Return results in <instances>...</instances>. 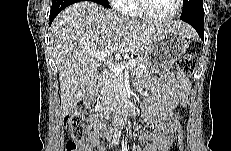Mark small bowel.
Instances as JSON below:
<instances>
[{
    "mask_svg": "<svg viewBox=\"0 0 231 151\" xmlns=\"http://www.w3.org/2000/svg\"><path fill=\"white\" fill-rule=\"evenodd\" d=\"M148 88L152 96L145 102L142 114L155 129L140 131V139L148 143L144 149L138 147L136 151H166L171 139L170 122L175 117L182 119L178 109L188 104L189 81L181 74L169 72L150 81ZM100 121L99 114L89 117L88 139L80 145L79 151H107L102 139L108 134Z\"/></svg>",
    "mask_w": 231,
    "mask_h": 151,
    "instance_id": "obj_1",
    "label": "small bowel"
}]
</instances>
